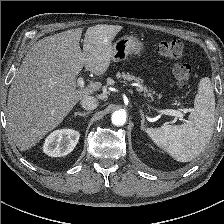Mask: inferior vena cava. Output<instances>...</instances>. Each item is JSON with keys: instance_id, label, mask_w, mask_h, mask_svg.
<instances>
[{"instance_id": "inferior-vena-cava-1", "label": "inferior vena cava", "mask_w": 224, "mask_h": 224, "mask_svg": "<svg viewBox=\"0 0 224 224\" xmlns=\"http://www.w3.org/2000/svg\"><path fill=\"white\" fill-rule=\"evenodd\" d=\"M80 103L81 106L86 110L96 109L99 104L98 99L94 96H85L83 99H81Z\"/></svg>"}]
</instances>
